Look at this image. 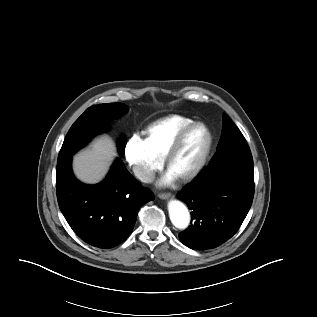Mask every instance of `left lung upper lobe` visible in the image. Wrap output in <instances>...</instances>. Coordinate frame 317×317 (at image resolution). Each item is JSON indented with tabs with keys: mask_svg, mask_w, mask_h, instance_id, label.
<instances>
[{
	"mask_svg": "<svg viewBox=\"0 0 317 317\" xmlns=\"http://www.w3.org/2000/svg\"><path fill=\"white\" fill-rule=\"evenodd\" d=\"M230 160H241L253 164L251 151L244 136L229 116L224 114L221 138L210 165L217 168Z\"/></svg>",
	"mask_w": 317,
	"mask_h": 317,
	"instance_id": "obj_1",
	"label": "left lung upper lobe"
}]
</instances>
